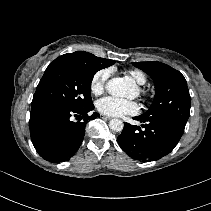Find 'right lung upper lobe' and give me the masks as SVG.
Masks as SVG:
<instances>
[{"label": "right lung upper lobe", "instance_id": "right-lung-upper-lobe-1", "mask_svg": "<svg viewBox=\"0 0 211 211\" xmlns=\"http://www.w3.org/2000/svg\"><path fill=\"white\" fill-rule=\"evenodd\" d=\"M63 57H69V58H76V59H81V60H93L95 62H99L100 65L105 67L111 66L115 63L114 60H109V59H103L100 57H96L91 53L84 52V51H78L74 53H68L62 55Z\"/></svg>", "mask_w": 211, "mask_h": 211}]
</instances>
